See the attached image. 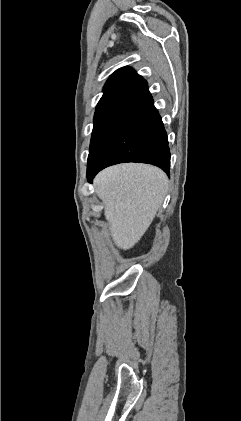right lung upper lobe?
<instances>
[{
  "mask_svg": "<svg viewBox=\"0 0 241 421\" xmlns=\"http://www.w3.org/2000/svg\"><path fill=\"white\" fill-rule=\"evenodd\" d=\"M147 90V82L132 68H120L106 82L96 111L116 105L133 104Z\"/></svg>",
  "mask_w": 241,
  "mask_h": 421,
  "instance_id": "right-lung-upper-lobe-1",
  "label": "right lung upper lobe"
}]
</instances>
